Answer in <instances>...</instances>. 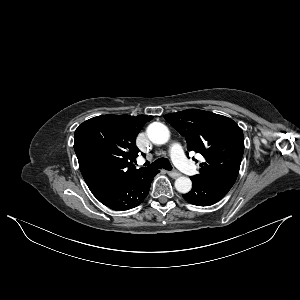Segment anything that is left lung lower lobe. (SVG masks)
<instances>
[{
	"label": "left lung lower lobe",
	"instance_id": "1",
	"mask_svg": "<svg viewBox=\"0 0 300 300\" xmlns=\"http://www.w3.org/2000/svg\"><path fill=\"white\" fill-rule=\"evenodd\" d=\"M192 190L183 195V198L191 204L198 206H210L220 201L229 190L204 184L191 177Z\"/></svg>",
	"mask_w": 300,
	"mask_h": 300
}]
</instances>
